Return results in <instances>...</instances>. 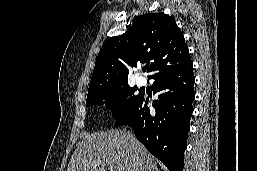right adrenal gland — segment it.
<instances>
[{
	"mask_svg": "<svg viewBox=\"0 0 257 171\" xmlns=\"http://www.w3.org/2000/svg\"><path fill=\"white\" fill-rule=\"evenodd\" d=\"M154 171H158V169L156 168Z\"/></svg>",
	"mask_w": 257,
	"mask_h": 171,
	"instance_id": "2a0ac1e0",
	"label": "right adrenal gland"
}]
</instances>
